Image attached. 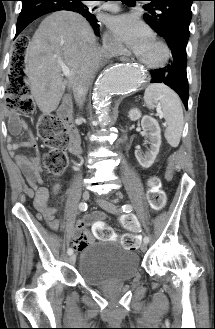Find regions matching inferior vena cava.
<instances>
[{
	"mask_svg": "<svg viewBox=\"0 0 215 329\" xmlns=\"http://www.w3.org/2000/svg\"><path fill=\"white\" fill-rule=\"evenodd\" d=\"M110 54L111 49L104 44L102 48L91 49L84 57L73 84L74 98L80 107L85 101L89 86L92 83L94 74L98 70L102 59Z\"/></svg>",
	"mask_w": 215,
	"mask_h": 329,
	"instance_id": "602c4592",
	"label": "inferior vena cava"
}]
</instances>
